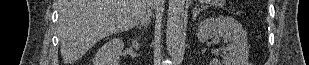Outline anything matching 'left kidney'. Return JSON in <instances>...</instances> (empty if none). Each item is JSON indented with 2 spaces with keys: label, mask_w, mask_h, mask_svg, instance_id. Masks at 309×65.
I'll list each match as a JSON object with an SVG mask.
<instances>
[{
  "label": "left kidney",
  "mask_w": 309,
  "mask_h": 65,
  "mask_svg": "<svg viewBox=\"0 0 309 65\" xmlns=\"http://www.w3.org/2000/svg\"><path fill=\"white\" fill-rule=\"evenodd\" d=\"M198 40L201 43L222 37L229 42L226 54L220 61L214 58L210 65H248L249 47L245 30L242 25L231 17H209L198 26Z\"/></svg>",
  "instance_id": "obj_1"
}]
</instances>
